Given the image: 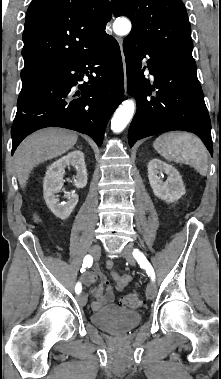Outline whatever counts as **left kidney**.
I'll list each match as a JSON object with an SVG mask.
<instances>
[{
  "label": "left kidney",
  "mask_w": 221,
  "mask_h": 379,
  "mask_svg": "<svg viewBox=\"0 0 221 379\" xmlns=\"http://www.w3.org/2000/svg\"><path fill=\"white\" fill-rule=\"evenodd\" d=\"M162 172L168 175L166 181L159 176ZM148 178L154 194L163 201L172 203L185 194V186L179 172L160 159L154 158L149 161Z\"/></svg>",
  "instance_id": "1"
}]
</instances>
